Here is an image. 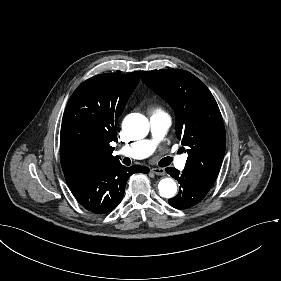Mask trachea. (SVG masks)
<instances>
[{"label":"trachea","mask_w":281,"mask_h":281,"mask_svg":"<svg viewBox=\"0 0 281 281\" xmlns=\"http://www.w3.org/2000/svg\"><path fill=\"white\" fill-rule=\"evenodd\" d=\"M172 162V158L168 157L162 167L168 166Z\"/></svg>","instance_id":"obj_1"}]
</instances>
